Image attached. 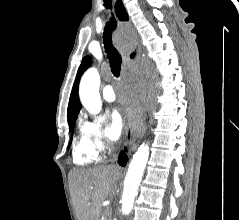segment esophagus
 <instances>
[{
	"mask_svg": "<svg viewBox=\"0 0 239 220\" xmlns=\"http://www.w3.org/2000/svg\"><path fill=\"white\" fill-rule=\"evenodd\" d=\"M115 3V12L120 21H128V14L126 12V9L122 3V0H114ZM138 45L137 43L135 44ZM141 55V48L140 46L137 47L136 50H132L128 54L129 61H134L138 58H140ZM134 118H131L126 126V139H125V145L128 148H132L135 145V142L143 136L145 130H146V124H145V117H143L144 109H140L141 107V99H134ZM143 117V118H142ZM136 118H141V120H136ZM136 121L139 122L140 127H136ZM138 124V123H137Z\"/></svg>",
	"mask_w": 239,
	"mask_h": 220,
	"instance_id": "obj_1",
	"label": "esophagus"
}]
</instances>
